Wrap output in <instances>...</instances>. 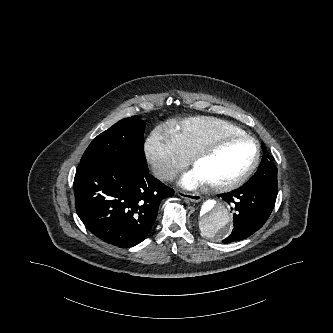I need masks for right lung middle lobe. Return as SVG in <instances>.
Instances as JSON below:
<instances>
[{
    "label": "right lung middle lobe",
    "instance_id": "obj_1",
    "mask_svg": "<svg viewBox=\"0 0 333 333\" xmlns=\"http://www.w3.org/2000/svg\"><path fill=\"white\" fill-rule=\"evenodd\" d=\"M144 129L145 124L138 116L120 120L93 139L79 165L107 162L129 168L147 167Z\"/></svg>",
    "mask_w": 333,
    "mask_h": 333
}]
</instances>
